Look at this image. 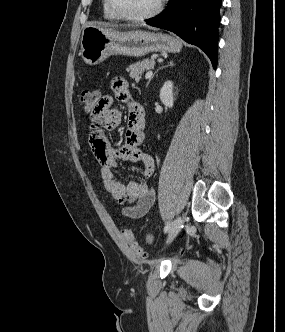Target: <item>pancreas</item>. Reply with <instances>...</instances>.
Listing matches in <instances>:
<instances>
[{
    "label": "pancreas",
    "instance_id": "pancreas-1",
    "mask_svg": "<svg viewBox=\"0 0 285 332\" xmlns=\"http://www.w3.org/2000/svg\"><path fill=\"white\" fill-rule=\"evenodd\" d=\"M155 65L154 59H144L140 62L129 66L130 77L138 80L145 70L153 68Z\"/></svg>",
    "mask_w": 285,
    "mask_h": 332
}]
</instances>
